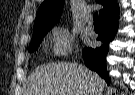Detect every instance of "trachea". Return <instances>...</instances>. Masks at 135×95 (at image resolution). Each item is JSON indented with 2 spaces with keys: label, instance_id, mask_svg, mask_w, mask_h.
I'll use <instances>...</instances> for the list:
<instances>
[{
  "label": "trachea",
  "instance_id": "3493384b",
  "mask_svg": "<svg viewBox=\"0 0 135 95\" xmlns=\"http://www.w3.org/2000/svg\"><path fill=\"white\" fill-rule=\"evenodd\" d=\"M93 20H94V26H100L99 16L97 12L94 13Z\"/></svg>",
  "mask_w": 135,
  "mask_h": 95
}]
</instances>
